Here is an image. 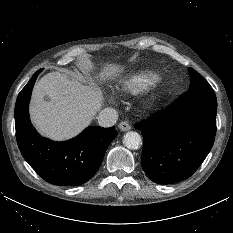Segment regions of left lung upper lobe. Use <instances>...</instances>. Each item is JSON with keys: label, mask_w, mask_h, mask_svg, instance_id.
<instances>
[{"label": "left lung upper lobe", "mask_w": 233, "mask_h": 233, "mask_svg": "<svg viewBox=\"0 0 233 233\" xmlns=\"http://www.w3.org/2000/svg\"><path fill=\"white\" fill-rule=\"evenodd\" d=\"M189 75H190V87L189 89H199V88H205L210 87L209 83L194 69L188 68Z\"/></svg>", "instance_id": "1"}]
</instances>
